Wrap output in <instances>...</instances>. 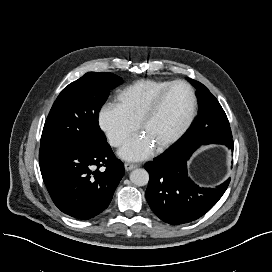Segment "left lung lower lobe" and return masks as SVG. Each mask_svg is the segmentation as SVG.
<instances>
[{
	"label": "left lung lower lobe",
	"instance_id": "obj_1",
	"mask_svg": "<svg viewBox=\"0 0 272 272\" xmlns=\"http://www.w3.org/2000/svg\"><path fill=\"white\" fill-rule=\"evenodd\" d=\"M206 142L200 134L188 131L163 154L144 167L150 179L145 193L152 211L164 222L179 225L198 219L207 213L226 191L230 178L215 188L195 184L187 173L186 162L192 153ZM219 144L233 151L232 138Z\"/></svg>",
	"mask_w": 272,
	"mask_h": 272
}]
</instances>
